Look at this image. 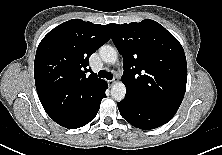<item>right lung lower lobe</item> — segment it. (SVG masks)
I'll return each instance as SVG.
<instances>
[{
    "instance_id": "1",
    "label": "right lung lower lobe",
    "mask_w": 222,
    "mask_h": 155,
    "mask_svg": "<svg viewBox=\"0 0 222 155\" xmlns=\"http://www.w3.org/2000/svg\"><path fill=\"white\" fill-rule=\"evenodd\" d=\"M107 87V83H105L95 96L84 103L78 104L70 113L61 116H53L50 113L48 115L63 127L80 128L92 121L97 115L101 100L106 97Z\"/></svg>"
}]
</instances>
